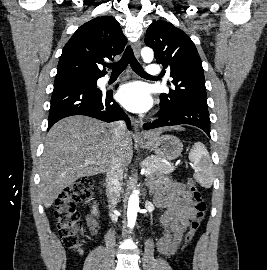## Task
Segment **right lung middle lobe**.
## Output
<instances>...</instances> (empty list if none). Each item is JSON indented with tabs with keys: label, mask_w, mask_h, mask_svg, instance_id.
Masks as SVG:
<instances>
[{
	"label": "right lung middle lobe",
	"mask_w": 267,
	"mask_h": 270,
	"mask_svg": "<svg viewBox=\"0 0 267 270\" xmlns=\"http://www.w3.org/2000/svg\"><path fill=\"white\" fill-rule=\"evenodd\" d=\"M98 77H90L77 74H66L56 76L54 86L60 85H76V86H88L96 88V80Z\"/></svg>",
	"instance_id": "dd1d6c3e"
}]
</instances>
